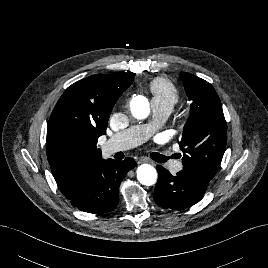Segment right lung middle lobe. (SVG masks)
I'll use <instances>...</instances> for the list:
<instances>
[{"mask_svg":"<svg viewBox=\"0 0 268 268\" xmlns=\"http://www.w3.org/2000/svg\"><path fill=\"white\" fill-rule=\"evenodd\" d=\"M89 152V148L80 141L70 137H60L52 143L47 154L60 166L69 167L86 160Z\"/></svg>","mask_w":268,"mask_h":268,"instance_id":"right-lung-middle-lobe-1","label":"right lung middle lobe"}]
</instances>
